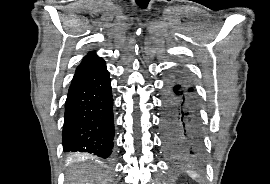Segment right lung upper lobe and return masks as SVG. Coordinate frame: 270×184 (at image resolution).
Masks as SVG:
<instances>
[{"label": "right lung upper lobe", "instance_id": "right-lung-upper-lobe-1", "mask_svg": "<svg viewBox=\"0 0 270 184\" xmlns=\"http://www.w3.org/2000/svg\"><path fill=\"white\" fill-rule=\"evenodd\" d=\"M100 57H98L95 52L91 51L89 52V54L87 56H85V58L82 60V63L84 62H88L91 60H95V59H99Z\"/></svg>", "mask_w": 270, "mask_h": 184}]
</instances>
